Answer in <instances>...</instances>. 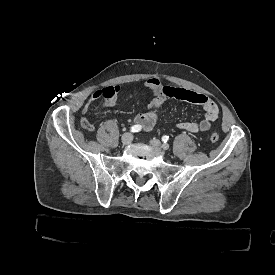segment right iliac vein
<instances>
[{"mask_svg": "<svg viewBox=\"0 0 275 275\" xmlns=\"http://www.w3.org/2000/svg\"><path fill=\"white\" fill-rule=\"evenodd\" d=\"M133 140V134L132 133H124L122 135L121 141L124 145H127L129 143H131V141Z\"/></svg>", "mask_w": 275, "mask_h": 275, "instance_id": "obj_1", "label": "right iliac vein"}]
</instances>
